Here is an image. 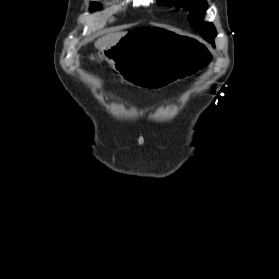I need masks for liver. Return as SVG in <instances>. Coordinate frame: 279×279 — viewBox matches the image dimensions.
Here are the masks:
<instances>
[{
  "instance_id": "liver-1",
  "label": "liver",
  "mask_w": 279,
  "mask_h": 279,
  "mask_svg": "<svg viewBox=\"0 0 279 279\" xmlns=\"http://www.w3.org/2000/svg\"><path fill=\"white\" fill-rule=\"evenodd\" d=\"M125 35L124 32H116V33H110L107 34L101 38H99L95 42V47L98 49H105L109 48L111 46H114L116 43L119 42V40Z\"/></svg>"
}]
</instances>
